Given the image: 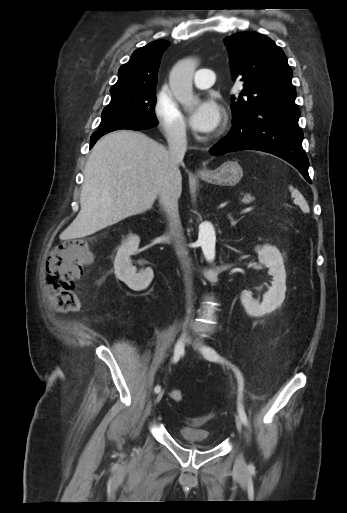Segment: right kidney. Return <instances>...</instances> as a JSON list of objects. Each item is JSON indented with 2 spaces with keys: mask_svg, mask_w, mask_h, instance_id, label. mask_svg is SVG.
Returning <instances> with one entry per match:
<instances>
[{
  "mask_svg": "<svg viewBox=\"0 0 347 513\" xmlns=\"http://www.w3.org/2000/svg\"><path fill=\"white\" fill-rule=\"evenodd\" d=\"M139 243L140 238L137 235L128 236L118 247L114 260L116 277L135 291L146 289L153 279V271L150 268L137 273L131 263L130 256L138 250Z\"/></svg>",
  "mask_w": 347,
  "mask_h": 513,
  "instance_id": "ca27d5eb",
  "label": "right kidney"
}]
</instances>
